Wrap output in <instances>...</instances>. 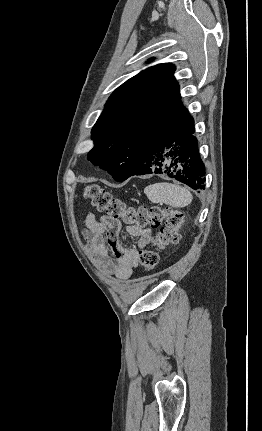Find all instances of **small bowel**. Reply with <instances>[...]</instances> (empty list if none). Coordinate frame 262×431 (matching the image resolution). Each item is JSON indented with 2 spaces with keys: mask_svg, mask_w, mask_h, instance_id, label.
Returning <instances> with one entry per match:
<instances>
[{
  "mask_svg": "<svg viewBox=\"0 0 262 431\" xmlns=\"http://www.w3.org/2000/svg\"><path fill=\"white\" fill-rule=\"evenodd\" d=\"M85 224L84 238L96 266L119 280H129L138 265L139 250L151 241L153 229L127 225L125 232L139 239V244L135 248L125 249L119 241L123 233L119 220L108 216L96 219L89 213Z\"/></svg>",
  "mask_w": 262,
  "mask_h": 431,
  "instance_id": "1",
  "label": "small bowel"
}]
</instances>
